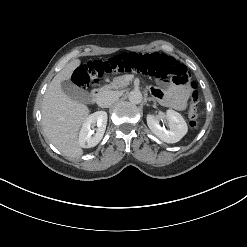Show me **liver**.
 Here are the masks:
<instances>
[{"label":"liver","instance_id":"6515ba94","mask_svg":"<svg viewBox=\"0 0 247 247\" xmlns=\"http://www.w3.org/2000/svg\"><path fill=\"white\" fill-rule=\"evenodd\" d=\"M79 59L71 61L49 84L42 103V125L49 141L64 155L78 158L83 154L78 132L90 110L83 103L69 98L61 89V82L69 80L79 67Z\"/></svg>","mask_w":247,"mask_h":247}]
</instances>
